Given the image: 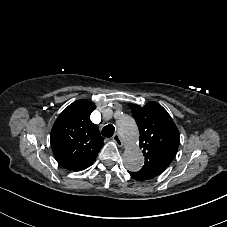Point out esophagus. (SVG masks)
I'll use <instances>...</instances> for the list:
<instances>
[{"instance_id": "1", "label": "esophagus", "mask_w": 227, "mask_h": 227, "mask_svg": "<svg viewBox=\"0 0 227 227\" xmlns=\"http://www.w3.org/2000/svg\"><path fill=\"white\" fill-rule=\"evenodd\" d=\"M113 141H114L118 146H120V147L123 146V142H122L120 136L118 135V133H115V134L113 135Z\"/></svg>"}]
</instances>
